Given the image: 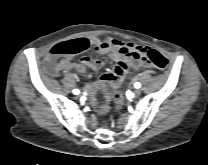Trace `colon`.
Instances as JSON below:
<instances>
[{"label": "colon", "instance_id": "obj_1", "mask_svg": "<svg viewBox=\"0 0 208 165\" xmlns=\"http://www.w3.org/2000/svg\"><path fill=\"white\" fill-rule=\"evenodd\" d=\"M89 43L85 39H74L70 41L56 44L51 49L49 55L44 61V69L50 76H56L60 70L61 62L67 57L81 54L88 50ZM146 62L150 63L158 69H166L168 67V59L155 49L145 47L142 51ZM114 98L118 107L121 106V96L116 93Z\"/></svg>", "mask_w": 208, "mask_h": 165}]
</instances>
